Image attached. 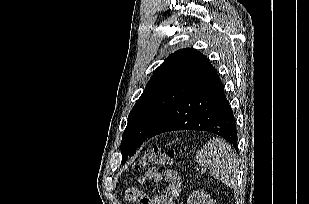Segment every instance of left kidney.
I'll return each mask as SVG.
<instances>
[{
    "instance_id": "left-kidney-1",
    "label": "left kidney",
    "mask_w": 309,
    "mask_h": 204,
    "mask_svg": "<svg viewBox=\"0 0 309 204\" xmlns=\"http://www.w3.org/2000/svg\"><path fill=\"white\" fill-rule=\"evenodd\" d=\"M187 204H215V201L203 191H193L187 199Z\"/></svg>"
}]
</instances>
